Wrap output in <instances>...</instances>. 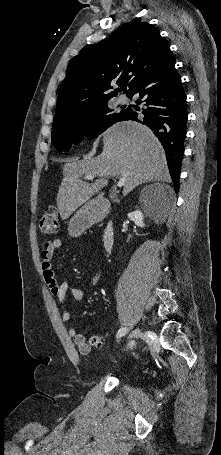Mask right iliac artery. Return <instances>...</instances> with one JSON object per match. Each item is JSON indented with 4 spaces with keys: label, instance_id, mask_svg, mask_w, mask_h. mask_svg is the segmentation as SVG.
<instances>
[{
    "label": "right iliac artery",
    "instance_id": "obj_1",
    "mask_svg": "<svg viewBox=\"0 0 221 455\" xmlns=\"http://www.w3.org/2000/svg\"><path fill=\"white\" fill-rule=\"evenodd\" d=\"M128 332V329L126 327L119 329L117 333V337H122Z\"/></svg>",
    "mask_w": 221,
    "mask_h": 455
}]
</instances>
